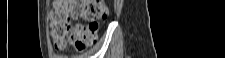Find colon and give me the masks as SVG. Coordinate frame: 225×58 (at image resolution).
I'll return each mask as SVG.
<instances>
[{"instance_id":"obj_1","label":"colon","mask_w":225,"mask_h":58,"mask_svg":"<svg viewBox=\"0 0 225 58\" xmlns=\"http://www.w3.org/2000/svg\"><path fill=\"white\" fill-rule=\"evenodd\" d=\"M108 16L104 0H58L50 14L51 36L56 47L62 48L68 40L84 51L96 41L99 22ZM84 18L89 23L71 28V20Z\"/></svg>"}]
</instances>
